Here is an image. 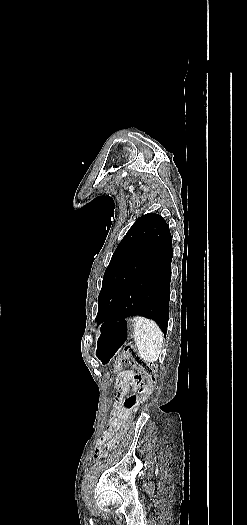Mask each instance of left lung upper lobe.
<instances>
[{
    "instance_id": "5c2ea615",
    "label": "left lung upper lobe",
    "mask_w": 247,
    "mask_h": 525,
    "mask_svg": "<svg viewBox=\"0 0 247 525\" xmlns=\"http://www.w3.org/2000/svg\"><path fill=\"white\" fill-rule=\"evenodd\" d=\"M168 229L165 220L155 213L142 215L131 226L105 271L95 319L98 324L103 322L107 313L146 269L150 257Z\"/></svg>"
}]
</instances>
